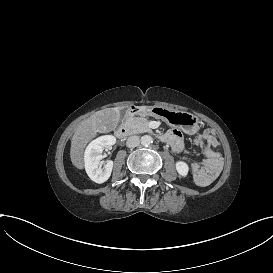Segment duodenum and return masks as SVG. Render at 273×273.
<instances>
[{"label":"duodenum","mask_w":273,"mask_h":273,"mask_svg":"<svg viewBox=\"0 0 273 273\" xmlns=\"http://www.w3.org/2000/svg\"><path fill=\"white\" fill-rule=\"evenodd\" d=\"M144 112V109L139 107H130L128 109V116H133L139 113ZM128 135V129L126 126H120L116 131V136L119 139H124Z\"/></svg>","instance_id":"1"}]
</instances>
